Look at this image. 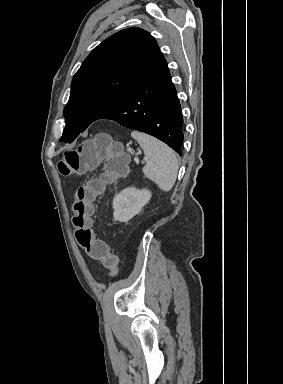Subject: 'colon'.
<instances>
[{"label":"colon","mask_w":283,"mask_h":384,"mask_svg":"<svg viewBox=\"0 0 283 384\" xmlns=\"http://www.w3.org/2000/svg\"><path fill=\"white\" fill-rule=\"evenodd\" d=\"M101 162L104 164L103 173L80 185L74 192L72 223L77 243L91 259L100 261L114 276L118 271V258L103 240L95 239L92 216L95 199L104 192L107 185L127 173L128 157L108 135L99 133L65 151L58 169L62 175L71 176L94 169Z\"/></svg>","instance_id":"5ec220e1"}]
</instances>
